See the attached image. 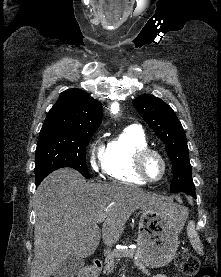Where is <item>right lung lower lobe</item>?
Instances as JSON below:
<instances>
[{
    "instance_id": "right-lung-lower-lobe-1",
    "label": "right lung lower lobe",
    "mask_w": 221,
    "mask_h": 277,
    "mask_svg": "<svg viewBox=\"0 0 221 277\" xmlns=\"http://www.w3.org/2000/svg\"><path fill=\"white\" fill-rule=\"evenodd\" d=\"M40 182H41V181H36V186H38Z\"/></svg>"
}]
</instances>
